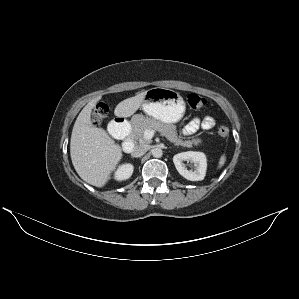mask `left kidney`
<instances>
[{"label":"left kidney","mask_w":299,"mask_h":299,"mask_svg":"<svg viewBox=\"0 0 299 299\" xmlns=\"http://www.w3.org/2000/svg\"><path fill=\"white\" fill-rule=\"evenodd\" d=\"M184 161L194 163V169L188 170ZM173 163L180 175L190 181L203 180L206 174L207 160L202 152L187 151L174 155Z\"/></svg>","instance_id":"5707ae66"}]
</instances>
